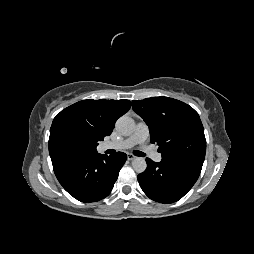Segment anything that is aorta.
<instances>
[{
	"label": "aorta",
	"mask_w": 254,
	"mask_h": 254,
	"mask_svg": "<svg viewBox=\"0 0 254 254\" xmlns=\"http://www.w3.org/2000/svg\"><path fill=\"white\" fill-rule=\"evenodd\" d=\"M116 129L125 136L131 135L135 129V122L129 116H122L116 122ZM132 168L137 173H143L147 168L144 158L136 157L132 161Z\"/></svg>",
	"instance_id": "obj_1"
}]
</instances>
